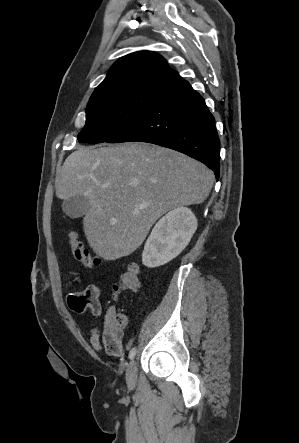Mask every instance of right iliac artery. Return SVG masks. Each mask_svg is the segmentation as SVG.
<instances>
[{
  "label": "right iliac artery",
  "instance_id": "right-iliac-artery-1",
  "mask_svg": "<svg viewBox=\"0 0 299 443\" xmlns=\"http://www.w3.org/2000/svg\"><path fill=\"white\" fill-rule=\"evenodd\" d=\"M135 355H136V348L134 347L129 352V358L133 359L135 357Z\"/></svg>",
  "mask_w": 299,
  "mask_h": 443
}]
</instances>
